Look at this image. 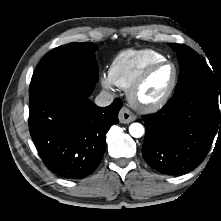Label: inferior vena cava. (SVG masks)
<instances>
[{
    "mask_svg": "<svg viewBox=\"0 0 221 221\" xmlns=\"http://www.w3.org/2000/svg\"><path fill=\"white\" fill-rule=\"evenodd\" d=\"M114 100V96L108 91H101L95 98V104L99 107L109 106Z\"/></svg>",
    "mask_w": 221,
    "mask_h": 221,
    "instance_id": "602c4592",
    "label": "inferior vena cava"
}]
</instances>
